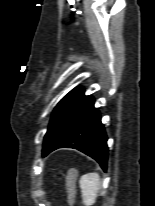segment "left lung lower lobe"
Segmentation results:
<instances>
[{"instance_id":"obj_1","label":"left lung lower lobe","mask_w":155,"mask_h":206,"mask_svg":"<svg viewBox=\"0 0 155 206\" xmlns=\"http://www.w3.org/2000/svg\"><path fill=\"white\" fill-rule=\"evenodd\" d=\"M58 148L77 149L95 159L106 171L107 136L98 109L92 106L86 111L67 133L43 151V156Z\"/></svg>"}]
</instances>
